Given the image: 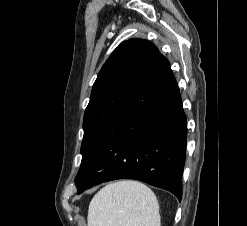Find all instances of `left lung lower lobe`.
I'll use <instances>...</instances> for the list:
<instances>
[{"label":"left lung lower lobe","mask_w":247,"mask_h":226,"mask_svg":"<svg viewBox=\"0 0 247 226\" xmlns=\"http://www.w3.org/2000/svg\"><path fill=\"white\" fill-rule=\"evenodd\" d=\"M186 139L179 88L160 54L80 168L78 194L95 184L131 178L181 200Z\"/></svg>","instance_id":"left-lung-lower-lobe-1"}]
</instances>
